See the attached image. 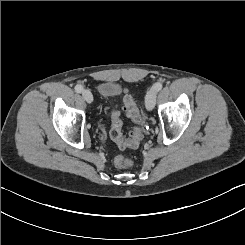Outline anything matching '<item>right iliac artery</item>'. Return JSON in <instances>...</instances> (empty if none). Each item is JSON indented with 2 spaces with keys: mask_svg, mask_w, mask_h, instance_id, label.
I'll return each mask as SVG.
<instances>
[{
  "mask_svg": "<svg viewBox=\"0 0 245 245\" xmlns=\"http://www.w3.org/2000/svg\"><path fill=\"white\" fill-rule=\"evenodd\" d=\"M83 90H84V89H83V87H82L81 85H76V86H75V91H76L77 93H81Z\"/></svg>",
  "mask_w": 245,
  "mask_h": 245,
  "instance_id": "obj_1",
  "label": "right iliac artery"
}]
</instances>
